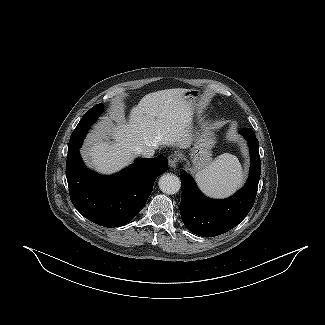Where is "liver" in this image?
<instances>
[{"label": "liver", "instance_id": "obj_1", "mask_svg": "<svg viewBox=\"0 0 325 325\" xmlns=\"http://www.w3.org/2000/svg\"><path fill=\"white\" fill-rule=\"evenodd\" d=\"M187 91L174 88L145 95L130 110L128 121L118 105L112 115L115 123L106 122L89 135L84 151L88 164L100 173L112 174L131 164L140 148H188L193 141L194 104L184 97Z\"/></svg>", "mask_w": 325, "mask_h": 325}]
</instances>
